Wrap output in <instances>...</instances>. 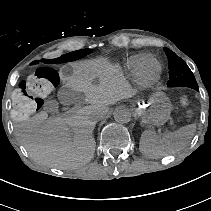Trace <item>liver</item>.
I'll use <instances>...</instances> for the list:
<instances>
[{"label": "liver", "instance_id": "obj_1", "mask_svg": "<svg viewBox=\"0 0 211 211\" xmlns=\"http://www.w3.org/2000/svg\"><path fill=\"white\" fill-rule=\"evenodd\" d=\"M93 65H74L72 74L60 79L78 93L85 95V106L68 119L48 118L41 111L24 120L16 121V139L30 155L43 165L57 169H74L87 164L94 155L96 141L95 114L101 118L108 112L107 106L127 98L130 93L118 80H106L93 84L89 73Z\"/></svg>", "mask_w": 211, "mask_h": 211}]
</instances>
